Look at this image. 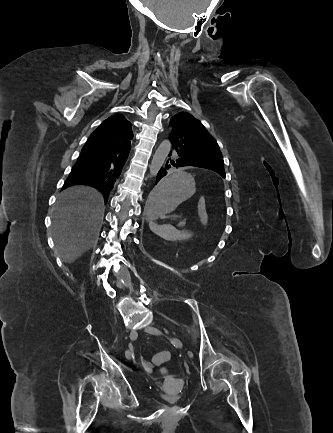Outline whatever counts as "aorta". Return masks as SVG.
<instances>
[{
  "instance_id": "762f6f07",
  "label": "aorta",
  "mask_w": 333,
  "mask_h": 433,
  "mask_svg": "<svg viewBox=\"0 0 333 433\" xmlns=\"http://www.w3.org/2000/svg\"><path fill=\"white\" fill-rule=\"evenodd\" d=\"M171 150V143L169 140H164L156 150L151 165H150V175L155 176L162 165L164 164L168 154Z\"/></svg>"
}]
</instances>
